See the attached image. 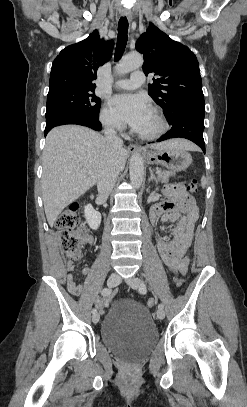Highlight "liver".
<instances>
[{"instance_id": "liver-1", "label": "liver", "mask_w": 247, "mask_h": 407, "mask_svg": "<svg viewBox=\"0 0 247 407\" xmlns=\"http://www.w3.org/2000/svg\"><path fill=\"white\" fill-rule=\"evenodd\" d=\"M152 149L195 150L184 139L151 145ZM128 157L125 148H112L105 137L83 126L52 129L43 151L42 197L48 224L52 227L62 210L96 184L110 165L121 171Z\"/></svg>"}]
</instances>
